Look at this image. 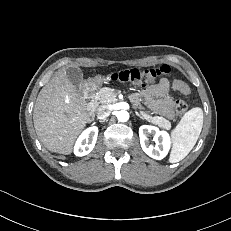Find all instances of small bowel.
<instances>
[{
  "mask_svg": "<svg viewBox=\"0 0 231 231\" xmlns=\"http://www.w3.org/2000/svg\"><path fill=\"white\" fill-rule=\"evenodd\" d=\"M171 91L188 95L190 89L188 85L179 79H162L156 84L148 86L142 93L143 97L149 101L151 107L159 114L173 117V100Z\"/></svg>",
  "mask_w": 231,
  "mask_h": 231,
  "instance_id": "small-bowel-1",
  "label": "small bowel"
}]
</instances>
